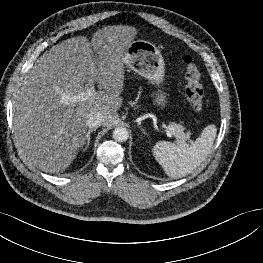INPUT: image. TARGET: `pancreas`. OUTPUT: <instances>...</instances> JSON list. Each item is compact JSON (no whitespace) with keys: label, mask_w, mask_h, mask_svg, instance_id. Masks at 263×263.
Segmentation results:
<instances>
[{"label":"pancreas","mask_w":263,"mask_h":263,"mask_svg":"<svg viewBox=\"0 0 263 263\" xmlns=\"http://www.w3.org/2000/svg\"><path fill=\"white\" fill-rule=\"evenodd\" d=\"M169 128L172 134L176 137L177 142L180 144L184 143L186 140L190 138V132H187L185 134L184 133L185 128L180 124L171 123L169 125Z\"/></svg>","instance_id":"obj_1"}]
</instances>
